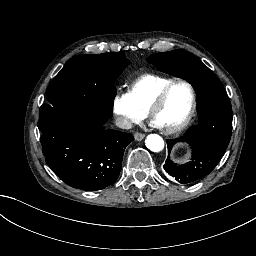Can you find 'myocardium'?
Returning <instances> with one entry per match:
<instances>
[{"label":"myocardium","mask_w":256,"mask_h":256,"mask_svg":"<svg viewBox=\"0 0 256 256\" xmlns=\"http://www.w3.org/2000/svg\"><path fill=\"white\" fill-rule=\"evenodd\" d=\"M178 83H183L185 84L190 92H191V98H192V103H191V108L188 112V114L186 115V117L184 118V120L179 123L178 125H176L172 130L165 132L166 135H171L174 133H177L179 131H181L183 128H185L190 120L192 119V117L195 114L196 111V107H197V99H196V92L195 89L193 87V85L191 84V82L189 80H187L186 78L183 77H178L175 80H173L168 86H166L155 98L154 101H152L150 104H148L144 111L146 112V114L150 117H152V112L154 110H156L157 108H159L164 101L166 100L170 90Z\"/></svg>","instance_id":"myocardium-1"}]
</instances>
